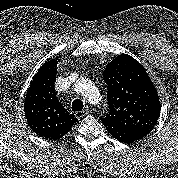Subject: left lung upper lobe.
<instances>
[{"instance_id":"1","label":"left lung upper lobe","mask_w":178,"mask_h":178,"mask_svg":"<svg viewBox=\"0 0 178 178\" xmlns=\"http://www.w3.org/2000/svg\"><path fill=\"white\" fill-rule=\"evenodd\" d=\"M103 76L109 112L101 120L151 131L160 115V101L144 67L121 54L106 66Z\"/></svg>"}]
</instances>
